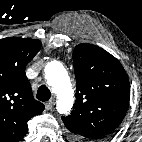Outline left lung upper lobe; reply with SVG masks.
Here are the masks:
<instances>
[{"instance_id": "5c2ea615", "label": "left lung upper lobe", "mask_w": 142, "mask_h": 142, "mask_svg": "<svg viewBox=\"0 0 142 142\" xmlns=\"http://www.w3.org/2000/svg\"><path fill=\"white\" fill-rule=\"evenodd\" d=\"M76 100L69 116L62 117L73 141H103L123 120L130 98L128 76L121 63L93 44L73 51Z\"/></svg>"}]
</instances>
